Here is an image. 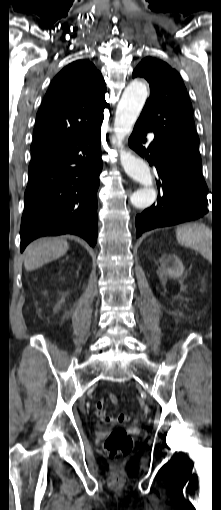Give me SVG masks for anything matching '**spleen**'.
Instances as JSON below:
<instances>
[{
  "instance_id": "1",
  "label": "spleen",
  "mask_w": 221,
  "mask_h": 510,
  "mask_svg": "<svg viewBox=\"0 0 221 510\" xmlns=\"http://www.w3.org/2000/svg\"><path fill=\"white\" fill-rule=\"evenodd\" d=\"M178 243L192 248L205 258L211 256V230L203 224H183L176 229Z\"/></svg>"
}]
</instances>
